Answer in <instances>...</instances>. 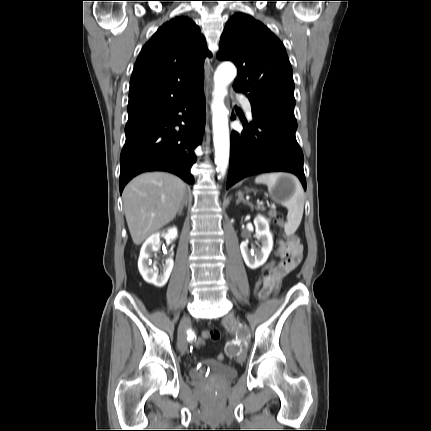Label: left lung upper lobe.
Here are the masks:
<instances>
[{"mask_svg":"<svg viewBox=\"0 0 431 431\" xmlns=\"http://www.w3.org/2000/svg\"><path fill=\"white\" fill-rule=\"evenodd\" d=\"M217 58L238 68L234 89L246 94L255 112L296 121L292 67L282 42L261 22L236 13L227 22Z\"/></svg>","mask_w":431,"mask_h":431,"instance_id":"obj_1","label":"left lung upper lobe"}]
</instances>
